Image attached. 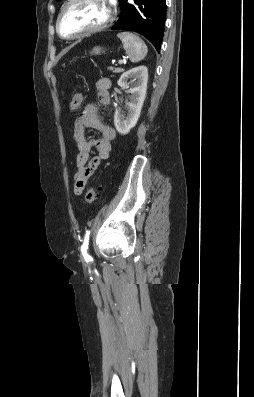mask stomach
Segmentation results:
<instances>
[{
	"instance_id": "0dacf381",
	"label": "stomach",
	"mask_w": 254,
	"mask_h": 397,
	"mask_svg": "<svg viewBox=\"0 0 254 397\" xmlns=\"http://www.w3.org/2000/svg\"><path fill=\"white\" fill-rule=\"evenodd\" d=\"M101 50H102L101 47H94L93 50L91 51V54L98 55L101 53Z\"/></svg>"
}]
</instances>
